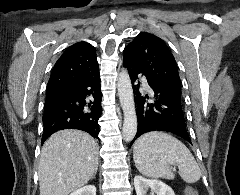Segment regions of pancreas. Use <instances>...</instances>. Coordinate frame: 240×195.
Instances as JSON below:
<instances>
[{
  "label": "pancreas",
  "instance_id": "cf45deb5",
  "mask_svg": "<svg viewBox=\"0 0 240 195\" xmlns=\"http://www.w3.org/2000/svg\"><path fill=\"white\" fill-rule=\"evenodd\" d=\"M175 173H173L172 169H170V173L168 175L169 179H173Z\"/></svg>",
  "mask_w": 240,
  "mask_h": 195
}]
</instances>
